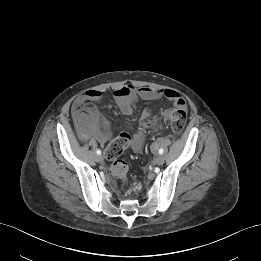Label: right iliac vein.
<instances>
[{"label":"right iliac vein","instance_id":"63e3f726","mask_svg":"<svg viewBox=\"0 0 261 261\" xmlns=\"http://www.w3.org/2000/svg\"><path fill=\"white\" fill-rule=\"evenodd\" d=\"M95 159H96V162H101L103 158L101 155H96Z\"/></svg>","mask_w":261,"mask_h":261}]
</instances>
